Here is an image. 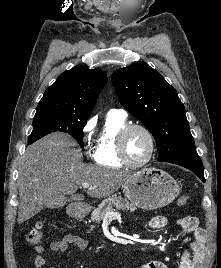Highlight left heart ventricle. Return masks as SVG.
<instances>
[{
    "label": "left heart ventricle",
    "mask_w": 221,
    "mask_h": 268,
    "mask_svg": "<svg viewBox=\"0 0 221 268\" xmlns=\"http://www.w3.org/2000/svg\"><path fill=\"white\" fill-rule=\"evenodd\" d=\"M150 142L147 135L138 129L129 132L126 138V152L133 163L142 162L148 155Z\"/></svg>",
    "instance_id": "obj_1"
}]
</instances>
